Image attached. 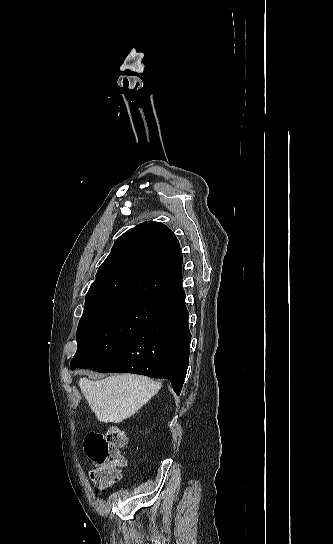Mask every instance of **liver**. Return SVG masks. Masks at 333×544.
<instances>
[{"label":"liver","mask_w":333,"mask_h":544,"mask_svg":"<svg viewBox=\"0 0 333 544\" xmlns=\"http://www.w3.org/2000/svg\"><path fill=\"white\" fill-rule=\"evenodd\" d=\"M80 389L100 422L120 423L131 417L161 388L159 382L133 374L92 381L80 378Z\"/></svg>","instance_id":"1"}]
</instances>
